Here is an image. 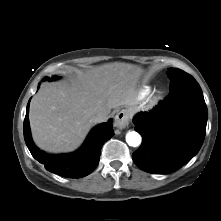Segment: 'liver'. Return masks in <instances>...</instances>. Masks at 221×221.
Listing matches in <instances>:
<instances>
[{"mask_svg": "<svg viewBox=\"0 0 221 221\" xmlns=\"http://www.w3.org/2000/svg\"><path fill=\"white\" fill-rule=\"evenodd\" d=\"M141 69L127 63H111L80 73L71 84L40 88L30 105V127L36 145L51 153L77 148L99 112L136 104V82Z\"/></svg>", "mask_w": 221, "mask_h": 221, "instance_id": "1", "label": "liver"}]
</instances>
